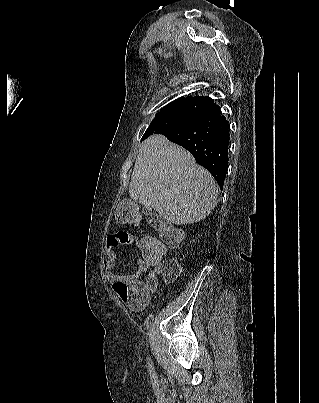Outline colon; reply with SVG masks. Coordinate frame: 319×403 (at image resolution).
<instances>
[{
    "instance_id": "1",
    "label": "colon",
    "mask_w": 319,
    "mask_h": 403,
    "mask_svg": "<svg viewBox=\"0 0 319 403\" xmlns=\"http://www.w3.org/2000/svg\"><path fill=\"white\" fill-rule=\"evenodd\" d=\"M115 217L124 224L136 225L140 222L141 213L134 203L133 197H122L121 205L115 211ZM147 220L158 234H150L149 230H144L143 234L138 236L139 248L136 251L144 254L146 258L156 261L158 265V271L147 278L152 292L156 288L159 274L165 280L172 281L181 273L177 262L169 260L161 263L162 254L166 252L167 247H174L179 243L181 233L155 214H149Z\"/></svg>"
}]
</instances>
